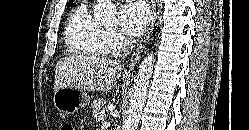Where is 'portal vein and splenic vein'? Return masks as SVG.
I'll return each mask as SVG.
<instances>
[{
    "label": "portal vein and splenic vein",
    "mask_w": 249,
    "mask_h": 130,
    "mask_svg": "<svg viewBox=\"0 0 249 130\" xmlns=\"http://www.w3.org/2000/svg\"><path fill=\"white\" fill-rule=\"evenodd\" d=\"M104 119H105V113L102 112L98 115V120L103 121Z\"/></svg>",
    "instance_id": "1"
}]
</instances>
